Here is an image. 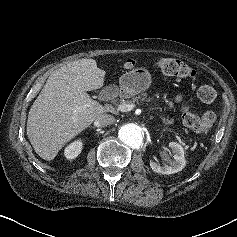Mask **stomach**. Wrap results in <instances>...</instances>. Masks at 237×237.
Here are the masks:
<instances>
[{"instance_id":"obj_1","label":"stomach","mask_w":237,"mask_h":237,"mask_svg":"<svg viewBox=\"0 0 237 237\" xmlns=\"http://www.w3.org/2000/svg\"><path fill=\"white\" fill-rule=\"evenodd\" d=\"M123 95L130 98L145 91L151 84V74L145 68H135L123 74L119 79Z\"/></svg>"}]
</instances>
